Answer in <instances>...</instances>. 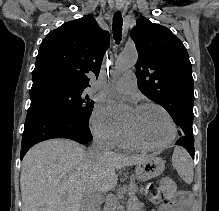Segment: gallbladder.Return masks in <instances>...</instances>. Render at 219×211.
<instances>
[{"label":"gallbladder","instance_id":"gallbladder-1","mask_svg":"<svg viewBox=\"0 0 219 211\" xmlns=\"http://www.w3.org/2000/svg\"><path fill=\"white\" fill-rule=\"evenodd\" d=\"M62 197H63V199H64L65 195H62Z\"/></svg>","mask_w":219,"mask_h":211}]
</instances>
